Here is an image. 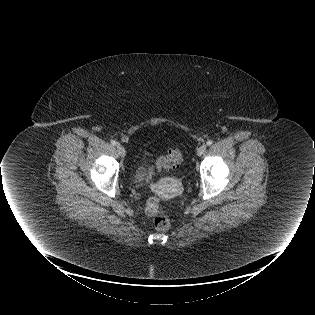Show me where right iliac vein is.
<instances>
[{
    "instance_id": "obj_1",
    "label": "right iliac vein",
    "mask_w": 315,
    "mask_h": 315,
    "mask_svg": "<svg viewBox=\"0 0 315 315\" xmlns=\"http://www.w3.org/2000/svg\"><path fill=\"white\" fill-rule=\"evenodd\" d=\"M117 151L120 154V156L124 157L126 155V150L122 145L117 146Z\"/></svg>"
}]
</instances>
